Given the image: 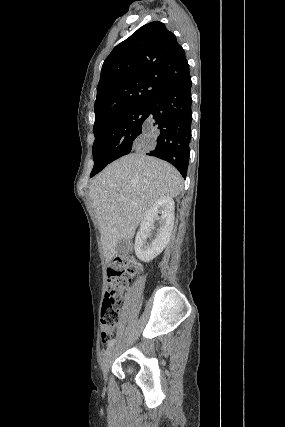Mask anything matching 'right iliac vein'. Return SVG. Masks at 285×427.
<instances>
[{"label":"right iliac vein","mask_w":285,"mask_h":427,"mask_svg":"<svg viewBox=\"0 0 285 427\" xmlns=\"http://www.w3.org/2000/svg\"><path fill=\"white\" fill-rule=\"evenodd\" d=\"M112 351L113 349H109L104 357L103 363H102V372L104 377H106L109 368H110V364H111V357H112Z\"/></svg>","instance_id":"63e3f726"}]
</instances>
